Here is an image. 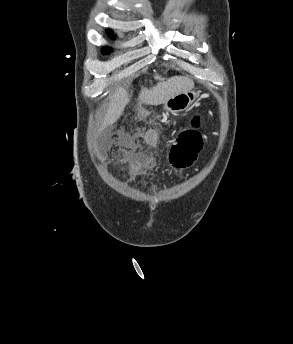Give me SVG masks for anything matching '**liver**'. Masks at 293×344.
I'll use <instances>...</instances> for the list:
<instances>
[{"label": "liver", "mask_w": 293, "mask_h": 344, "mask_svg": "<svg viewBox=\"0 0 293 344\" xmlns=\"http://www.w3.org/2000/svg\"><path fill=\"white\" fill-rule=\"evenodd\" d=\"M194 82L183 76H175L166 81L159 82L152 89H143L139 99L149 105H159L165 103L169 98L180 93L191 91ZM130 102L128 93L122 87H117L110 96V103L103 120V127L113 124L123 113L126 105Z\"/></svg>", "instance_id": "1"}]
</instances>
